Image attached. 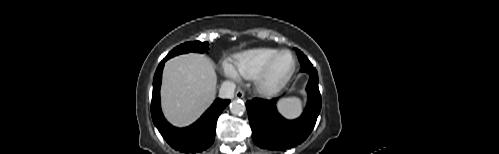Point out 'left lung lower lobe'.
Segmentation results:
<instances>
[{
  "label": "left lung lower lobe",
  "mask_w": 499,
  "mask_h": 154,
  "mask_svg": "<svg viewBox=\"0 0 499 154\" xmlns=\"http://www.w3.org/2000/svg\"><path fill=\"white\" fill-rule=\"evenodd\" d=\"M297 51L298 49L295 48ZM301 72L309 74L307 106L295 120H286L277 111V99L255 98L247 101L246 108L252 129V139L263 149L279 151L302 143L313 130L321 110L318 74L315 68L302 66Z\"/></svg>",
  "instance_id": "left-lung-lower-lobe-1"
}]
</instances>
